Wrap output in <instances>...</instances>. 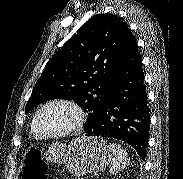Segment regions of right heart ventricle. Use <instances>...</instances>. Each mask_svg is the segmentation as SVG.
I'll list each match as a JSON object with an SVG mask.
<instances>
[{
    "label": "right heart ventricle",
    "mask_w": 183,
    "mask_h": 179,
    "mask_svg": "<svg viewBox=\"0 0 183 179\" xmlns=\"http://www.w3.org/2000/svg\"><path fill=\"white\" fill-rule=\"evenodd\" d=\"M35 119H36V115H35V117H34V119H33V121H32V124H31V133L33 134V136H34L35 138H40V135H39V134L37 133V131H36Z\"/></svg>",
    "instance_id": "right-heart-ventricle-1"
}]
</instances>
